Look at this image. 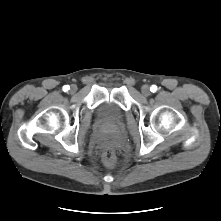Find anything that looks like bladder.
Returning <instances> with one entry per match:
<instances>
[{
    "label": "bladder",
    "instance_id": "bladder-1",
    "mask_svg": "<svg viewBox=\"0 0 221 221\" xmlns=\"http://www.w3.org/2000/svg\"><path fill=\"white\" fill-rule=\"evenodd\" d=\"M97 115L102 122L112 127L121 126L125 119L124 111L110 102L102 103L97 109Z\"/></svg>",
    "mask_w": 221,
    "mask_h": 221
}]
</instances>
